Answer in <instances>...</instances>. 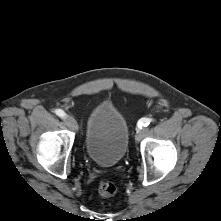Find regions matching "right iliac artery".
Returning <instances> with one entry per match:
<instances>
[{
  "instance_id": "right-iliac-artery-1",
  "label": "right iliac artery",
  "mask_w": 221,
  "mask_h": 221,
  "mask_svg": "<svg viewBox=\"0 0 221 221\" xmlns=\"http://www.w3.org/2000/svg\"><path fill=\"white\" fill-rule=\"evenodd\" d=\"M55 113H56V115H58L61 118H64L66 116L65 112L61 109H56Z\"/></svg>"
}]
</instances>
